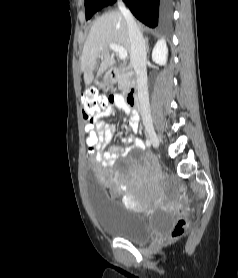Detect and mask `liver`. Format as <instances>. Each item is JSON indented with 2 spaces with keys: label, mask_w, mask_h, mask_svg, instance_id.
<instances>
[{
  "label": "liver",
  "mask_w": 238,
  "mask_h": 278,
  "mask_svg": "<svg viewBox=\"0 0 238 278\" xmlns=\"http://www.w3.org/2000/svg\"><path fill=\"white\" fill-rule=\"evenodd\" d=\"M110 43L122 46L126 51L131 52L127 22L119 11L102 15L91 27L81 56V70L84 73L86 86L94 80L93 71L98 58H101V64L97 76L115 64L114 57L110 55Z\"/></svg>",
  "instance_id": "6515ba94"
}]
</instances>
